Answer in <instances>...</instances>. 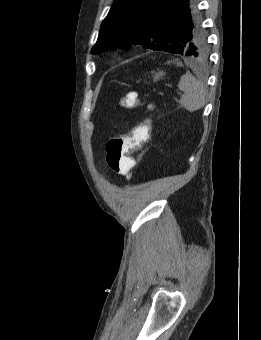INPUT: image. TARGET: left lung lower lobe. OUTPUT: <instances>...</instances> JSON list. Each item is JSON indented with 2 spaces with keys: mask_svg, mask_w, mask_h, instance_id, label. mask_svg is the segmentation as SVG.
Returning <instances> with one entry per match:
<instances>
[{
  "mask_svg": "<svg viewBox=\"0 0 261 340\" xmlns=\"http://www.w3.org/2000/svg\"><path fill=\"white\" fill-rule=\"evenodd\" d=\"M197 0H165L161 10L165 12L166 17L178 20L182 15H189L197 7Z\"/></svg>",
  "mask_w": 261,
  "mask_h": 340,
  "instance_id": "1",
  "label": "left lung lower lobe"
}]
</instances>
